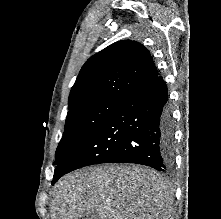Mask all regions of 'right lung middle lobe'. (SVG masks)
I'll list each match as a JSON object with an SVG mask.
<instances>
[{"label": "right lung middle lobe", "instance_id": "dd1d6c3e", "mask_svg": "<svg viewBox=\"0 0 221 219\" xmlns=\"http://www.w3.org/2000/svg\"><path fill=\"white\" fill-rule=\"evenodd\" d=\"M121 99L103 98L87 101L69 109L65 131L57 147L55 164L80 147L101 126Z\"/></svg>", "mask_w": 221, "mask_h": 219}]
</instances>
